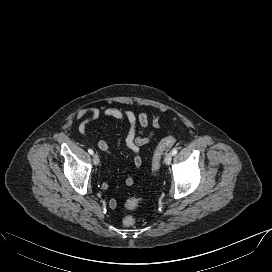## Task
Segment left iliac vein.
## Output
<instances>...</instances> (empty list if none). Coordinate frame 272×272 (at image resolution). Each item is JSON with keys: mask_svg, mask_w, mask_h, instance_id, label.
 Wrapping results in <instances>:
<instances>
[{"mask_svg": "<svg viewBox=\"0 0 272 272\" xmlns=\"http://www.w3.org/2000/svg\"><path fill=\"white\" fill-rule=\"evenodd\" d=\"M171 161H172V154L171 153L166 154V156L164 158V163L166 165H169L171 163Z\"/></svg>", "mask_w": 272, "mask_h": 272, "instance_id": "left-iliac-vein-1", "label": "left iliac vein"}]
</instances>
